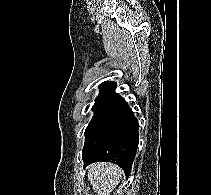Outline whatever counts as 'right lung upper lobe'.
Returning a JSON list of instances; mask_svg holds the SVG:
<instances>
[{"label":"right lung upper lobe","mask_w":211,"mask_h":195,"mask_svg":"<svg viewBox=\"0 0 211 195\" xmlns=\"http://www.w3.org/2000/svg\"><path fill=\"white\" fill-rule=\"evenodd\" d=\"M101 89V93H110L115 94L116 83L115 82H104L99 87Z\"/></svg>","instance_id":"cb5924a9"}]
</instances>
